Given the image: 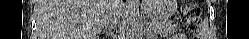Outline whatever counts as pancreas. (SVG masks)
Returning a JSON list of instances; mask_svg holds the SVG:
<instances>
[{
    "mask_svg": "<svg viewBox=\"0 0 249 39\" xmlns=\"http://www.w3.org/2000/svg\"><path fill=\"white\" fill-rule=\"evenodd\" d=\"M151 29L155 33L168 35L173 34L177 30V26L166 23L165 21L155 20L151 25Z\"/></svg>",
    "mask_w": 249,
    "mask_h": 39,
    "instance_id": "1",
    "label": "pancreas"
}]
</instances>
